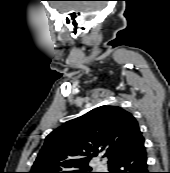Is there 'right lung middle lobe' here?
Wrapping results in <instances>:
<instances>
[{"label": "right lung middle lobe", "mask_w": 170, "mask_h": 173, "mask_svg": "<svg viewBox=\"0 0 170 173\" xmlns=\"http://www.w3.org/2000/svg\"><path fill=\"white\" fill-rule=\"evenodd\" d=\"M91 168L89 169H83V170H77V171H71V173H93L91 172Z\"/></svg>", "instance_id": "1"}]
</instances>
